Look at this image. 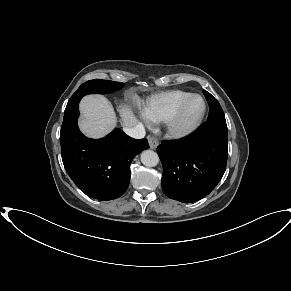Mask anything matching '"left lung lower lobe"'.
Masks as SVG:
<instances>
[{
	"label": "left lung lower lobe",
	"instance_id": "left-lung-lower-lobe-1",
	"mask_svg": "<svg viewBox=\"0 0 291 291\" xmlns=\"http://www.w3.org/2000/svg\"><path fill=\"white\" fill-rule=\"evenodd\" d=\"M163 165L162 189L180 202L207 196L224 175L228 156L226 120L205 122L194 134L157 147Z\"/></svg>",
	"mask_w": 291,
	"mask_h": 291
}]
</instances>
